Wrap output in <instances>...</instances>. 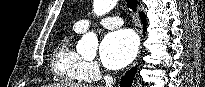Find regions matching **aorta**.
Returning <instances> with one entry per match:
<instances>
[{
    "label": "aorta",
    "instance_id": "762f6f07",
    "mask_svg": "<svg viewBox=\"0 0 205 87\" xmlns=\"http://www.w3.org/2000/svg\"><path fill=\"white\" fill-rule=\"evenodd\" d=\"M118 0H94L93 11L97 16H103L106 13L110 12ZM98 38L97 35L93 32H87L82 36L77 44V49L81 52H88L94 54L97 50Z\"/></svg>",
    "mask_w": 205,
    "mask_h": 87
}]
</instances>
